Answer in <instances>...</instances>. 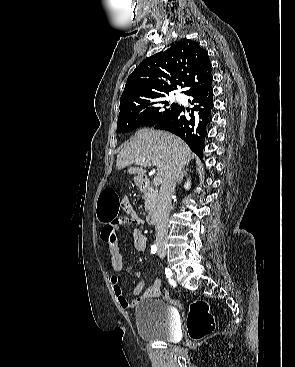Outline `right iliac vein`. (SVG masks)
Segmentation results:
<instances>
[{
	"label": "right iliac vein",
	"instance_id": "63e3f726",
	"mask_svg": "<svg viewBox=\"0 0 295 367\" xmlns=\"http://www.w3.org/2000/svg\"><path fill=\"white\" fill-rule=\"evenodd\" d=\"M162 256H166V252L164 250H160Z\"/></svg>",
	"mask_w": 295,
	"mask_h": 367
}]
</instances>
